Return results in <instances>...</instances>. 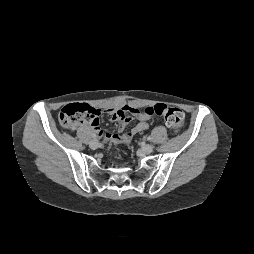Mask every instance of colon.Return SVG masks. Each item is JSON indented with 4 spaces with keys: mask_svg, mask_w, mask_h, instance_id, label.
Here are the masks:
<instances>
[{
    "mask_svg": "<svg viewBox=\"0 0 254 254\" xmlns=\"http://www.w3.org/2000/svg\"><path fill=\"white\" fill-rule=\"evenodd\" d=\"M144 113L148 116L156 115L161 117L166 126L174 132H179L184 125L183 112L174 106L158 103L154 106L145 108ZM99 117L97 109L87 104H69L63 107L58 114L60 126L66 129H74L81 123L91 124ZM120 144L128 143L127 139L122 138Z\"/></svg>",
    "mask_w": 254,
    "mask_h": 254,
    "instance_id": "obj_1",
    "label": "colon"
}]
</instances>
